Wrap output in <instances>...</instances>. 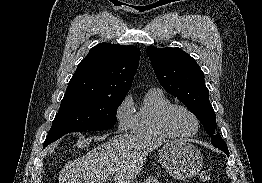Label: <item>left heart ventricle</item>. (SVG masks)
Instances as JSON below:
<instances>
[{
  "mask_svg": "<svg viewBox=\"0 0 262 183\" xmlns=\"http://www.w3.org/2000/svg\"><path fill=\"white\" fill-rule=\"evenodd\" d=\"M172 125L181 133H192L196 128L194 118L183 109H176L171 116Z\"/></svg>",
  "mask_w": 262,
  "mask_h": 183,
  "instance_id": "obj_1",
  "label": "left heart ventricle"
}]
</instances>
